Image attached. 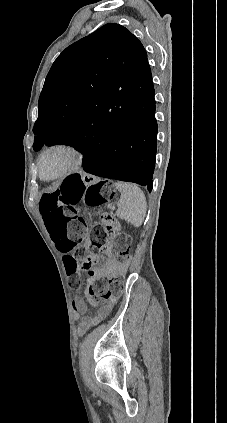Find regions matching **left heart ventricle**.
Instances as JSON below:
<instances>
[{"mask_svg": "<svg viewBox=\"0 0 227 423\" xmlns=\"http://www.w3.org/2000/svg\"><path fill=\"white\" fill-rule=\"evenodd\" d=\"M71 160L70 155L61 150L48 153L43 160V175L51 178L63 171Z\"/></svg>", "mask_w": 227, "mask_h": 423, "instance_id": "left-heart-ventricle-1", "label": "left heart ventricle"}]
</instances>
